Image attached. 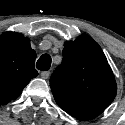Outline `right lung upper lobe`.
<instances>
[{
    "mask_svg": "<svg viewBox=\"0 0 125 125\" xmlns=\"http://www.w3.org/2000/svg\"><path fill=\"white\" fill-rule=\"evenodd\" d=\"M35 58L30 40L22 34L9 31L0 35V106L18 98L38 75Z\"/></svg>",
    "mask_w": 125,
    "mask_h": 125,
    "instance_id": "1",
    "label": "right lung upper lobe"
}]
</instances>
